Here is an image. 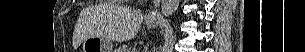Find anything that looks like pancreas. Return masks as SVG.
Here are the masks:
<instances>
[{
  "mask_svg": "<svg viewBox=\"0 0 305 52\" xmlns=\"http://www.w3.org/2000/svg\"><path fill=\"white\" fill-rule=\"evenodd\" d=\"M127 50H126V48H120L119 50H118V52H126Z\"/></svg>",
  "mask_w": 305,
  "mask_h": 52,
  "instance_id": "1",
  "label": "pancreas"
}]
</instances>
